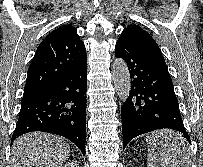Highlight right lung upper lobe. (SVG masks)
Segmentation results:
<instances>
[{"mask_svg": "<svg viewBox=\"0 0 203 167\" xmlns=\"http://www.w3.org/2000/svg\"><path fill=\"white\" fill-rule=\"evenodd\" d=\"M86 49L72 25H63L38 46L29 66L23 96L40 93L52 86L86 58Z\"/></svg>", "mask_w": 203, "mask_h": 167, "instance_id": "obj_1", "label": "right lung upper lobe"}]
</instances>
